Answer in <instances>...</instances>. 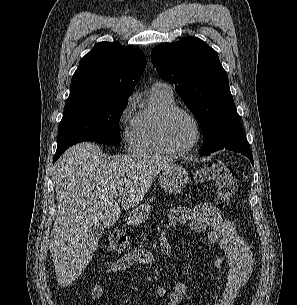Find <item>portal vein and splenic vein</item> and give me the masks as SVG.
I'll list each match as a JSON object with an SVG mask.
<instances>
[{
	"label": "portal vein and splenic vein",
	"instance_id": "18ae733b",
	"mask_svg": "<svg viewBox=\"0 0 297 305\" xmlns=\"http://www.w3.org/2000/svg\"><path fill=\"white\" fill-rule=\"evenodd\" d=\"M115 197H116V198H120V197H121V194H120V193H116V194H115Z\"/></svg>",
	"mask_w": 297,
	"mask_h": 305
}]
</instances>
